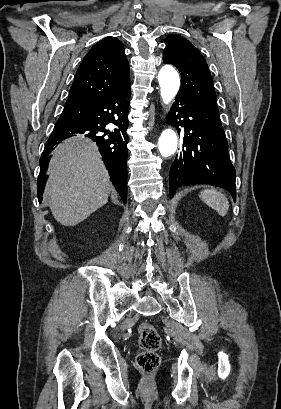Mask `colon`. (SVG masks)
<instances>
[{"label": "colon", "mask_w": 281, "mask_h": 409, "mask_svg": "<svg viewBox=\"0 0 281 409\" xmlns=\"http://www.w3.org/2000/svg\"><path fill=\"white\" fill-rule=\"evenodd\" d=\"M138 332L139 345L143 352L137 357V366L144 372H152L160 364L158 351L162 347V339L151 324H140Z\"/></svg>", "instance_id": "5ec220e1"}]
</instances>
